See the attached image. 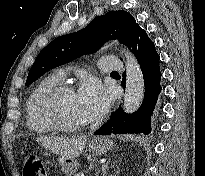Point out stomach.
<instances>
[{
	"instance_id": "0dacf381",
	"label": "stomach",
	"mask_w": 205,
	"mask_h": 176,
	"mask_svg": "<svg viewBox=\"0 0 205 176\" xmlns=\"http://www.w3.org/2000/svg\"><path fill=\"white\" fill-rule=\"evenodd\" d=\"M112 146L113 141L109 138L94 137L88 144V151L93 155H102ZM57 161L66 176H71L78 170L79 164L74 158L59 156Z\"/></svg>"
}]
</instances>
